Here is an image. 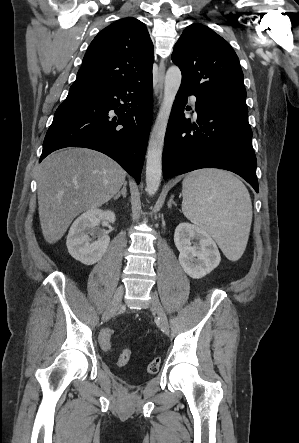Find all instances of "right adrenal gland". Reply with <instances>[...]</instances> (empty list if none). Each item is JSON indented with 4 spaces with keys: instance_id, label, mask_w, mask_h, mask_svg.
<instances>
[{
    "instance_id": "right-adrenal-gland-1",
    "label": "right adrenal gland",
    "mask_w": 299,
    "mask_h": 443,
    "mask_svg": "<svg viewBox=\"0 0 299 443\" xmlns=\"http://www.w3.org/2000/svg\"><path fill=\"white\" fill-rule=\"evenodd\" d=\"M127 182L125 181L123 184V188L114 196V200H117L122 195L123 198H126L127 196V190H126Z\"/></svg>"
}]
</instances>
